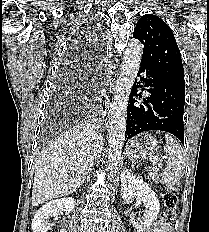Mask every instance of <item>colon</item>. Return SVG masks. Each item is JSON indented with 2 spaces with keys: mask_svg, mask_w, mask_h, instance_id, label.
<instances>
[{
  "mask_svg": "<svg viewBox=\"0 0 209 232\" xmlns=\"http://www.w3.org/2000/svg\"><path fill=\"white\" fill-rule=\"evenodd\" d=\"M164 202L166 211L161 215L160 221L164 224H168L176 214L178 197L173 191H168L165 194Z\"/></svg>",
  "mask_w": 209,
  "mask_h": 232,
  "instance_id": "colon-1",
  "label": "colon"
}]
</instances>
